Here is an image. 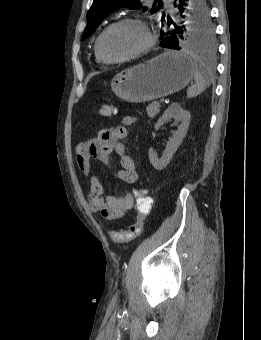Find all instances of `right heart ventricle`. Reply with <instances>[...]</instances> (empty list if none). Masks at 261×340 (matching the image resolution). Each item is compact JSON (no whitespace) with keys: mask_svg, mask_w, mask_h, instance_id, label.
<instances>
[{"mask_svg":"<svg viewBox=\"0 0 261 340\" xmlns=\"http://www.w3.org/2000/svg\"><path fill=\"white\" fill-rule=\"evenodd\" d=\"M94 52H95L96 60H97L98 63H106L98 56L95 47H94Z\"/></svg>","mask_w":261,"mask_h":340,"instance_id":"e07e8e85","label":"right heart ventricle"}]
</instances>
